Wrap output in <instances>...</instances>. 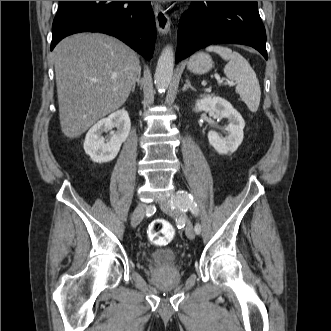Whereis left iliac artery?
<instances>
[{
	"label": "left iliac artery",
	"mask_w": 331,
	"mask_h": 331,
	"mask_svg": "<svg viewBox=\"0 0 331 331\" xmlns=\"http://www.w3.org/2000/svg\"><path fill=\"white\" fill-rule=\"evenodd\" d=\"M170 205L172 209H179L184 212L189 210L193 215H198L197 205L193 202L191 195L183 190L178 191L177 196L170 200ZM194 230L196 234H200L201 226L199 223L195 225Z\"/></svg>",
	"instance_id": "1"
}]
</instances>
